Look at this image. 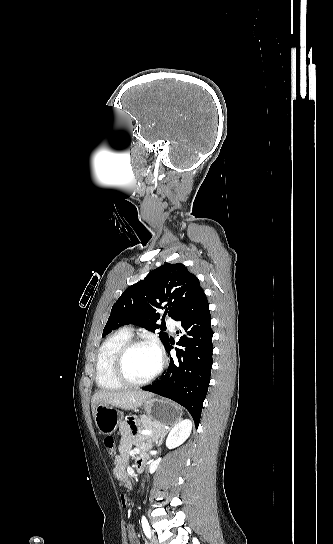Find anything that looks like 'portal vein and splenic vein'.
Listing matches in <instances>:
<instances>
[{"instance_id": "portal-vein-and-splenic-vein-1", "label": "portal vein and splenic vein", "mask_w": 333, "mask_h": 544, "mask_svg": "<svg viewBox=\"0 0 333 544\" xmlns=\"http://www.w3.org/2000/svg\"><path fill=\"white\" fill-rule=\"evenodd\" d=\"M141 435H151L153 434L150 430H143L140 432Z\"/></svg>"}]
</instances>
